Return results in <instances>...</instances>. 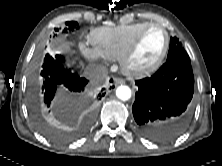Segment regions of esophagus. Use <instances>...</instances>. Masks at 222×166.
I'll return each instance as SVG.
<instances>
[{"mask_svg": "<svg viewBox=\"0 0 222 166\" xmlns=\"http://www.w3.org/2000/svg\"><path fill=\"white\" fill-rule=\"evenodd\" d=\"M124 83V80L122 78H114V84L117 86V85H120V84H123Z\"/></svg>", "mask_w": 222, "mask_h": 166, "instance_id": "1", "label": "esophagus"}]
</instances>
